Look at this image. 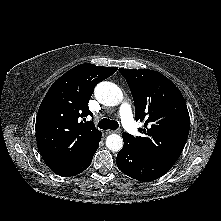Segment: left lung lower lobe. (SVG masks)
I'll use <instances>...</instances> for the list:
<instances>
[{"instance_id": "left-lung-lower-lobe-1", "label": "left lung lower lobe", "mask_w": 221, "mask_h": 221, "mask_svg": "<svg viewBox=\"0 0 221 221\" xmlns=\"http://www.w3.org/2000/svg\"><path fill=\"white\" fill-rule=\"evenodd\" d=\"M124 146L118 152L116 163L126 175L142 182H150L163 176L172 166L138 150L124 136Z\"/></svg>"}]
</instances>
